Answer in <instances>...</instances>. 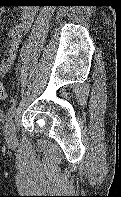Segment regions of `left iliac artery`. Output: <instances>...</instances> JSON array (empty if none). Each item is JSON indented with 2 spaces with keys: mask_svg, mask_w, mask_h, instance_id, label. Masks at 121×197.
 Masks as SVG:
<instances>
[{
  "mask_svg": "<svg viewBox=\"0 0 121 197\" xmlns=\"http://www.w3.org/2000/svg\"><path fill=\"white\" fill-rule=\"evenodd\" d=\"M21 69H22V67L19 66L18 71H21ZM16 103L17 102L14 100L12 106L7 111V113H6V120H10L13 117V115L15 114Z\"/></svg>",
  "mask_w": 121,
  "mask_h": 197,
  "instance_id": "44dca946",
  "label": "left iliac artery"
}]
</instances>
